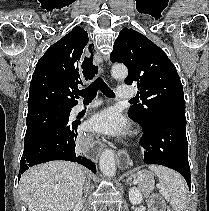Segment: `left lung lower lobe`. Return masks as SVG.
<instances>
[{
    "mask_svg": "<svg viewBox=\"0 0 209 211\" xmlns=\"http://www.w3.org/2000/svg\"><path fill=\"white\" fill-rule=\"evenodd\" d=\"M141 126L145 133L140 141L145 149L144 162L178 171L191 189L185 114L160 116L152 124Z\"/></svg>",
    "mask_w": 209,
    "mask_h": 211,
    "instance_id": "left-lung-lower-lobe-1",
    "label": "left lung lower lobe"
}]
</instances>
